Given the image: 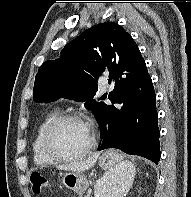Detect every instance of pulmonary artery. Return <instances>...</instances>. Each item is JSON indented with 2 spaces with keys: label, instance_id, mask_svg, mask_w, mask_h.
<instances>
[{
  "label": "pulmonary artery",
  "instance_id": "1",
  "mask_svg": "<svg viewBox=\"0 0 191 197\" xmlns=\"http://www.w3.org/2000/svg\"><path fill=\"white\" fill-rule=\"evenodd\" d=\"M107 89V81L106 80H102L100 82V90L101 91H105Z\"/></svg>",
  "mask_w": 191,
  "mask_h": 197
}]
</instances>
